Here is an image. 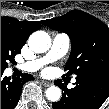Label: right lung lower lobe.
<instances>
[{"mask_svg": "<svg viewBox=\"0 0 109 109\" xmlns=\"http://www.w3.org/2000/svg\"><path fill=\"white\" fill-rule=\"evenodd\" d=\"M2 74L3 71H1V77ZM33 79L30 74H24L22 78H14L12 81L8 77L2 78L1 109H14L19 101L23 84Z\"/></svg>", "mask_w": 109, "mask_h": 109, "instance_id": "obj_1", "label": "right lung lower lobe"}]
</instances>
